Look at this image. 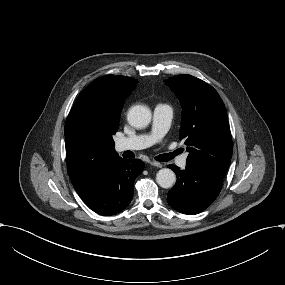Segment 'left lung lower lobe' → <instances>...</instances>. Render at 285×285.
<instances>
[{"label": "left lung lower lobe", "mask_w": 285, "mask_h": 285, "mask_svg": "<svg viewBox=\"0 0 285 285\" xmlns=\"http://www.w3.org/2000/svg\"><path fill=\"white\" fill-rule=\"evenodd\" d=\"M177 174L175 186L168 192L167 201L175 210L193 215L204 211L217 198L223 179L186 165L180 170L168 165Z\"/></svg>", "instance_id": "0a47b994"}]
</instances>
